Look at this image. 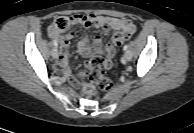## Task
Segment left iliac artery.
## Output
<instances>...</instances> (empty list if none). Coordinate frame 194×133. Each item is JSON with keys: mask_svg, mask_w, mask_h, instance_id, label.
<instances>
[{"mask_svg": "<svg viewBox=\"0 0 194 133\" xmlns=\"http://www.w3.org/2000/svg\"><path fill=\"white\" fill-rule=\"evenodd\" d=\"M123 49L126 51L128 49V44H126Z\"/></svg>", "mask_w": 194, "mask_h": 133, "instance_id": "obj_1", "label": "left iliac artery"}]
</instances>
